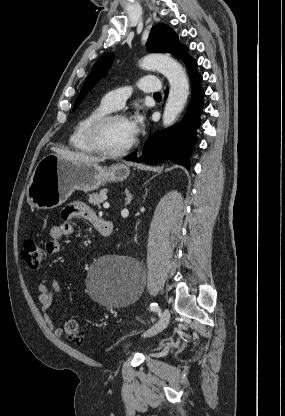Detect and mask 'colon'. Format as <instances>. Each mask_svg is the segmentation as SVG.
<instances>
[{"label":"colon","mask_w":285,"mask_h":416,"mask_svg":"<svg viewBox=\"0 0 285 416\" xmlns=\"http://www.w3.org/2000/svg\"><path fill=\"white\" fill-rule=\"evenodd\" d=\"M21 255L31 269H38L44 259L43 249L32 239L24 241ZM65 336L72 343L83 345L85 340L80 331L78 322L74 319H67L64 324Z\"/></svg>","instance_id":"5ec220e1"}]
</instances>
